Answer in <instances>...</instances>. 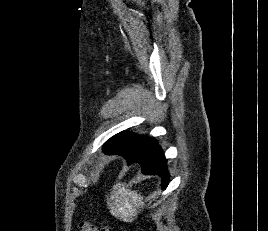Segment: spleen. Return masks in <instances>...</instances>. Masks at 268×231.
Instances as JSON below:
<instances>
[{"label":"spleen","mask_w":268,"mask_h":231,"mask_svg":"<svg viewBox=\"0 0 268 231\" xmlns=\"http://www.w3.org/2000/svg\"><path fill=\"white\" fill-rule=\"evenodd\" d=\"M143 196L137 191H131L124 184L113 186L107 205L110 213L123 222H132L137 216V209L143 204Z\"/></svg>","instance_id":"1"}]
</instances>
